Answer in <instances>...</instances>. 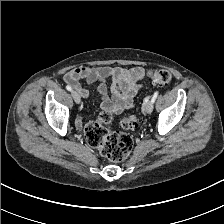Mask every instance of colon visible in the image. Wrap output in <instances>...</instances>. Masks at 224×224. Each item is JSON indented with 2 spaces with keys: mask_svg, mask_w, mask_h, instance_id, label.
I'll return each mask as SVG.
<instances>
[{
  "mask_svg": "<svg viewBox=\"0 0 224 224\" xmlns=\"http://www.w3.org/2000/svg\"><path fill=\"white\" fill-rule=\"evenodd\" d=\"M146 76L157 86H166L172 80L171 73L166 69L148 70ZM111 112L105 110L95 121L89 122L84 129L89 145L100 150L102 156L111 161H122L130 153L133 140L130 135L117 131H109L106 125L112 122ZM138 117L134 114L123 118L120 125L123 129H134L138 125Z\"/></svg>",
  "mask_w": 224,
  "mask_h": 224,
  "instance_id": "obj_1",
  "label": "colon"
}]
</instances>
